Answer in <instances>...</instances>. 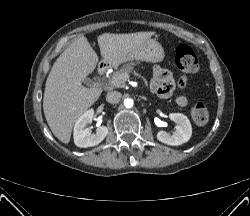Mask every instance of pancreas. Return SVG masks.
Returning <instances> with one entry per match:
<instances>
[{
	"label": "pancreas",
	"instance_id": "pancreas-1",
	"mask_svg": "<svg viewBox=\"0 0 250 216\" xmlns=\"http://www.w3.org/2000/svg\"><path fill=\"white\" fill-rule=\"evenodd\" d=\"M135 66V63H128L122 66L119 70L115 71L111 76L110 83L115 88H124L126 87V80L122 79L121 76L125 73H130Z\"/></svg>",
	"mask_w": 250,
	"mask_h": 216
}]
</instances>
